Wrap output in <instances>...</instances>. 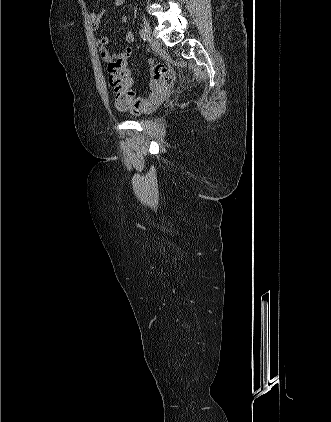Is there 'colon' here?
<instances>
[{
    "label": "colon",
    "mask_w": 331,
    "mask_h": 422,
    "mask_svg": "<svg viewBox=\"0 0 331 422\" xmlns=\"http://www.w3.org/2000/svg\"><path fill=\"white\" fill-rule=\"evenodd\" d=\"M152 80L149 98L136 96L126 64L114 61L108 64V81L115 95V106L120 111L141 114L157 107L166 97L171 70L163 63L151 62Z\"/></svg>",
    "instance_id": "5ec220e1"
}]
</instances>
